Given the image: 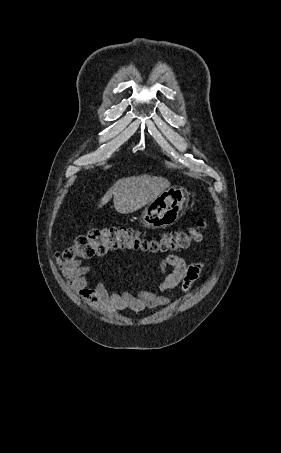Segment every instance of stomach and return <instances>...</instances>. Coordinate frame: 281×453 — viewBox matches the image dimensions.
I'll return each mask as SVG.
<instances>
[{
  "mask_svg": "<svg viewBox=\"0 0 281 453\" xmlns=\"http://www.w3.org/2000/svg\"><path fill=\"white\" fill-rule=\"evenodd\" d=\"M184 188L169 186L157 198L150 200L141 214L146 229H167L178 220L188 196Z\"/></svg>",
  "mask_w": 281,
  "mask_h": 453,
  "instance_id": "obj_1",
  "label": "stomach"
}]
</instances>
